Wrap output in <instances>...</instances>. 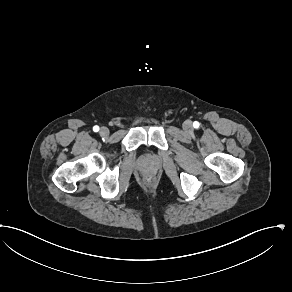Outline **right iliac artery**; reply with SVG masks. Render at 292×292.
Returning <instances> with one entry per match:
<instances>
[{"label":"right iliac artery","instance_id":"82829eb1","mask_svg":"<svg viewBox=\"0 0 292 292\" xmlns=\"http://www.w3.org/2000/svg\"><path fill=\"white\" fill-rule=\"evenodd\" d=\"M93 131H94V132H98V131H99V126H97V125L94 126V127H93Z\"/></svg>","mask_w":292,"mask_h":292}]
</instances>
